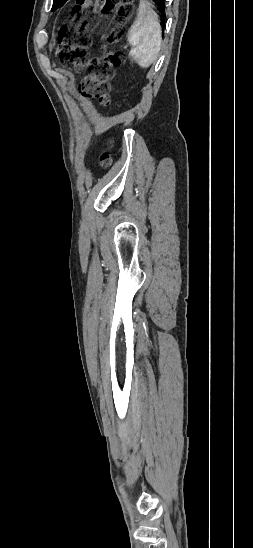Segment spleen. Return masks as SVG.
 I'll list each match as a JSON object with an SVG mask.
<instances>
[{
	"mask_svg": "<svg viewBox=\"0 0 253 548\" xmlns=\"http://www.w3.org/2000/svg\"><path fill=\"white\" fill-rule=\"evenodd\" d=\"M128 41L133 46L130 56L141 68H148L156 61L161 48L162 31L157 13L146 0H140Z\"/></svg>",
	"mask_w": 253,
	"mask_h": 548,
	"instance_id": "obj_1",
	"label": "spleen"
}]
</instances>
